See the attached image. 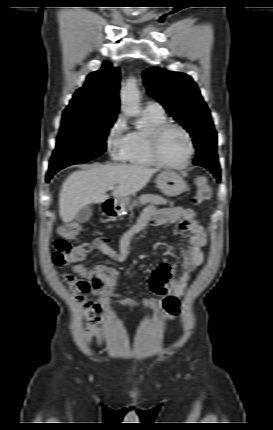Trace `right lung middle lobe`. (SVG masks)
I'll return each instance as SVG.
<instances>
[{
	"label": "right lung middle lobe",
	"instance_id": "1",
	"mask_svg": "<svg viewBox=\"0 0 273 430\" xmlns=\"http://www.w3.org/2000/svg\"><path fill=\"white\" fill-rule=\"evenodd\" d=\"M115 120L116 117L64 112L48 173L55 174L66 166L84 163L103 154L107 134Z\"/></svg>",
	"mask_w": 273,
	"mask_h": 430
}]
</instances>
